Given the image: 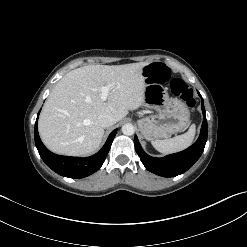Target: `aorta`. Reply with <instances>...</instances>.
I'll return each mask as SVG.
<instances>
[{
    "mask_svg": "<svg viewBox=\"0 0 247 247\" xmlns=\"http://www.w3.org/2000/svg\"><path fill=\"white\" fill-rule=\"evenodd\" d=\"M135 132L134 126L132 124H125L122 126V133L124 135L131 136Z\"/></svg>",
    "mask_w": 247,
    "mask_h": 247,
    "instance_id": "762f6f07",
    "label": "aorta"
}]
</instances>
